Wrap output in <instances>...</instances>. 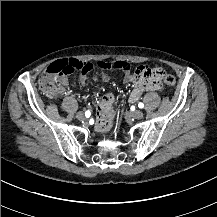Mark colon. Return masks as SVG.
Returning a JSON list of instances; mask_svg holds the SVG:
<instances>
[{"label":"colon","mask_w":217,"mask_h":217,"mask_svg":"<svg viewBox=\"0 0 217 217\" xmlns=\"http://www.w3.org/2000/svg\"><path fill=\"white\" fill-rule=\"evenodd\" d=\"M95 67L110 71H127L130 70L131 65L129 62L123 60H104L95 61L94 63L79 62L77 57L69 56L67 59L54 62L44 69L40 78V87L49 96L58 97L67 86V79L64 75L75 72L86 74ZM162 72L164 73L165 70L159 67L139 65L135 68L133 76L136 83L143 88L154 89L160 86L158 77ZM166 79L168 80L166 82L168 87L172 88L175 86L176 79L174 76L169 74Z\"/></svg>","instance_id":"5ec220e1"}]
</instances>
